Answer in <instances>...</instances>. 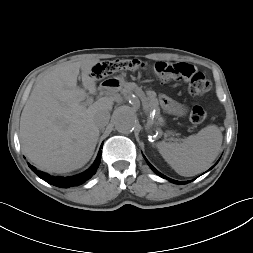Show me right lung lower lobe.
<instances>
[{"label":"right lung lower lobe","instance_id":"obj_1","mask_svg":"<svg viewBox=\"0 0 253 253\" xmlns=\"http://www.w3.org/2000/svg\"><path fill=\"white\" fill-rule=\"evenodd\" d=\"M101 153L102 151L100 150L94 164L87 171L79 175L72 176V177L50 176L44 172H40L36 170V168L30 164L28 165L32 171H34L41 179L45 180L47 183L60 187V188H69L71 186H78L82 184L83 182L91 178L96 173V170L99 167V164L101 162Z\"/></svg>","mask_w":253,"mask_h":253}]
</instances>
